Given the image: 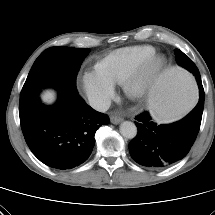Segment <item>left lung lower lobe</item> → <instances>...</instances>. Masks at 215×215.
<instances>
[{
  "label": "left lung lower lobe",
  "mask_w": 215,
  "mask_h": 215,
  "mask_svg": "<svg viewBox=\"0 0 215 215\" xmlns=\"http://www.w3.org/2000/svg\"><path fill=\"white\" fill-rule=\"evenodd\" d=\"M198 86L199 102L182 120L168 125H157L147 111L136 117L138 133L129 144L134 161L151 169H161L188 154L199 132L203 114L204 89L201 80H198Z\"/></svg>",
  "instance_id": "obj_1"
}]
</instances>
